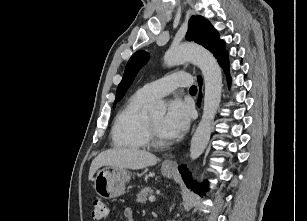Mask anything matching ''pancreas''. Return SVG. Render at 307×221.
Instances as JSON below:
<instances>
[{
    "mask_svg": "<svg viewBox=\"0 0 307 221\" xmlns=\"http://www.w3.org/2000/svg\"><path fill=\"white\" fill-rule=\"evenodd\" d=\"M153 195V190L150 187H145L137 194L138 202H146L147 196Z\"/></svg>",
    "mask_w": 307,
    "mask_h": 221,
    "instance_id": "pancreas-1",
    "label": "pancreas"
}]
</instances>
